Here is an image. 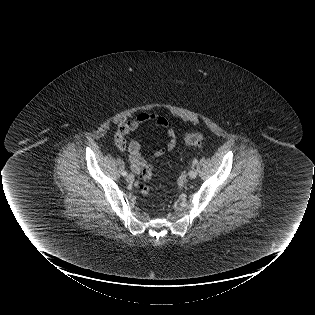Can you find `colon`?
Wrapping results in <instances>:
<instances>
[{"label": "colon", "instance_id": "5ec220e1", "mask_svg": "<svg viewBox=\"0 0 315 315\" xmlns=\"http://www.w3.org/2000/svg\"><path fill=\"white\" fill-rule=\"evenodd\" d=\"M204 137L201 134H190L185 138V142L190 146H197L203 141ZM116 145L120 148L124 146V139L119 133L116 136ZM141 177L144 182H148L152 177V166L146 165L141 171ZM141 192L143 195L147 196L150 193V187L147 184L142 185Z\"/></svg>", "mask_w": 315, "mask_h": 315}]
</instances>
